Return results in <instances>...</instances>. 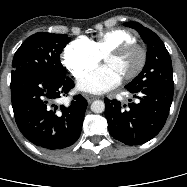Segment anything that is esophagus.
Instances as JSON below:
<instances>
[{"label": "esophagus", "instance_id": "obj_1", "mask_svg": "<svg viewBox=\"0 0 187 187\" xmlns=\"http://www.w3.org/2000/svg\"><path fill=\"white\" fill-rule=\"evenodd\" d=\"M83 96L86 98V100L88 101V103H91L93 100L97 99L96 96L89 95V94H83Z\"/></svg>", "mask_w": 187, "mask_h": 187}]
</instances>
